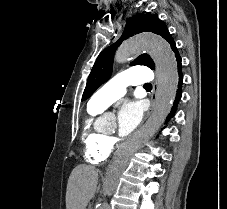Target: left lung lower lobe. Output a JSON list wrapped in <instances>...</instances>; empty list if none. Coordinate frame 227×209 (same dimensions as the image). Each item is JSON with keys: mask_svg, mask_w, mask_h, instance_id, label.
<instances>
[{"mask_svg": "<svg viewBox=\"0 0 227 209\" xmlns=\"http://www.w3.org/2000/svg\"><path fill=\"white\" fill-rule=\"evenodd\" d=\"M173 52L175 53V56H176V61H177V67H178V73H179V82H178V90H177V93H176V98H175V101H174V104H173V107L171 109V112L169 113L168 117H167V120L166 122H168V120L173 117L175 115V110L177 108V104L181 98V85H182V80H183V75H182V72H181V57L178 53V50L175 47L172 48Z\"/></svg>", "mask_w": 227, "mask_h": 209, "instance_id": "left-lung-lower-lobe-1", "label": "left lung lower lobe"}]
</instances>
